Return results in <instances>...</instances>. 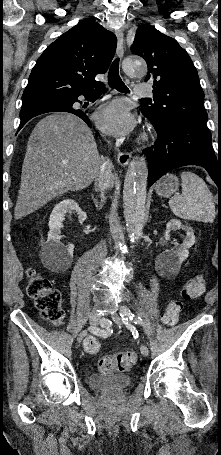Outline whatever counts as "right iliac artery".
I'll return each instance as SVG.
<instances>
[{"label":"right iliac artery","instance_id":"1","mask_svg":"<svg viewBox=\"0 0 221 455\" xmlns=\"http://www.w3.org/2000/svg\"><path fill=\"white\" fill-rule=\"evenodd\" d=\"M111 327L109 325H103L102 328L91 329L90 333L95 334V337H110L111 336Z\"/></svg>","mask_w":221,"mask_h":455}]
</instances>
